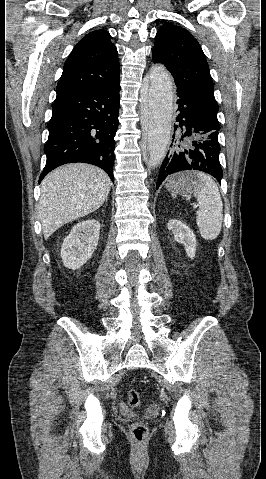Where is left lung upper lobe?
Segmentation results:
<instances>
[{
    "label": "left lung upper lobe",
    "mask_w": 266,
    "mask_h": 479,
    "mask_svg": "<svg viewBox=\"0 0 266 479\" xmlns=\"http://www.w3.org/2000/svg\"><path fill=\"white\" fill-rule=\"evenodd\" d=\"M152 56L153 62L165 64L177 89L217 115L219 108L209 66L201 46L189 31L171 23L162 25L156 34Z\"/></svg>",
    "instance_id": "obj_1"
}]
</instances>
